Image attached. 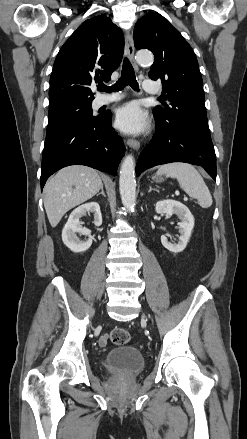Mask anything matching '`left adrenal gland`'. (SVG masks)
Returning <instances> with one entry per match:
<instances>
[{"label":"left adrenal gland","mask_w":247,"mask_h":439,"mask_svg":"<svg viewBox=\"0 0 247 439\" xmlns=\"http://www.w3.org/2000/svg\"><path fill=\"white\" fill-rule=\"evenodd\" d=\"M152 190H154V191H156V192L159 193V190H158V189H155V188H152V186L149 187L148 193H150Z\"/></svg>","instance_id":"obj_1"}]
</instances>
